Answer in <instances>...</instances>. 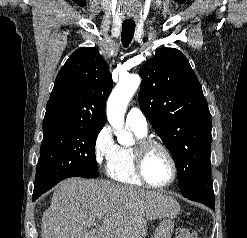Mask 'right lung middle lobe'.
Instances as JSON below:
<instances>
[{
	"mask_svg": "<svg viewBox=\"0 0 247 238\" xmlns=\"http://www.w3.org/2000/svg\"><path fill=\"white\" fill-rule=\"evenodd\" d=\"M102 128L76 125L43 132L33 197H39L68 177H98L95 141Z\"/></svg>",
	"mask_w": 247,
	"mask_h": 238,
	"instance_id": "1",
	"label": "right lung middle lobe"
}]
</instances>
